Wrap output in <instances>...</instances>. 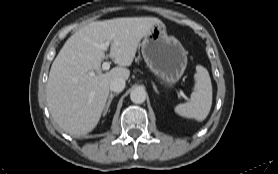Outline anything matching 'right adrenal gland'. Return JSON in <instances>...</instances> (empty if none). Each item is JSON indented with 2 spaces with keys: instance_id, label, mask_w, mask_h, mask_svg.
<instances>
[{
  "instance_id": "right-adrenal-gland-1",
  "label": "right adrenal gland",
  "mask_w": 278,
  "mask_h": 174,
  "mask_svg": "<svg viewBox=\"0 0 278 174\" xmlns=\"http://www.w3.org/2000/svg\"><path fill=\"white\" fill-rule=\"evenodd\" d=\"M118 94H119V93L117 92V93H111V94L109 95L108 102H107V104L105 105V108H104V113H103L104 116L107 114L108 111L110 112V110H109L110 104H111L113 98H114L115 96H117Z\"/></svg>"
}]
</instances>
